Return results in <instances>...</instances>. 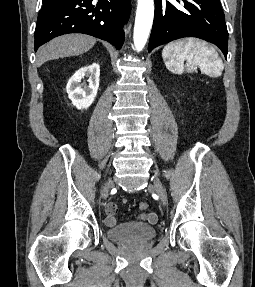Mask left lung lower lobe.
Here are the masks:
<instances>
[{"label":"left lung lower lobe","mask_w":255,"mask_h":287,"mask_svg":"<svg viewBox=\"0 0 255 287\" xmlns=\"http://www.w3.org/2000/svg\"><path fill=\"white\" fill-rule=\"evenodd\" d=\"M183 37H197L217 45L227 59L228 31L220 0H155V16L148 52Z\"/></svg>","instance_id":"obj_1"}]
</instances>
